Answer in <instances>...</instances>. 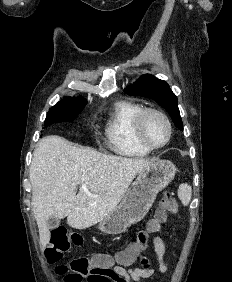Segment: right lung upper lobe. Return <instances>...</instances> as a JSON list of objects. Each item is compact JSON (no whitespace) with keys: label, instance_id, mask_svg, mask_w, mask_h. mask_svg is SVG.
Returning a JSON list of instances; mask_svg holds the SVG:
<instances>
[{"label":"right lung upper lobe","instance_id":"obj_1","mask_svg":"<svg viewBox=\"0 0 232 282\" xmlns=\"http://www.w3.org/2000/svg\"><path fill=\"white\" fill-rule=\"evenodd\" d=\"M78 100H83V99H81V98H71V97H68V98H65V100H63V101H78ZM63 101H61V102H63Z\"/></svg>","mask_w":232,"mask_h":282}]
</instances>
